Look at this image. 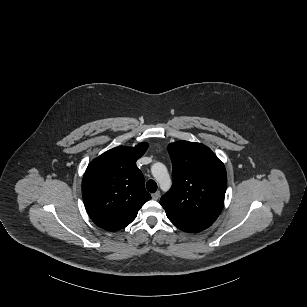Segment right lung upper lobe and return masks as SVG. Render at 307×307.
I'll return each instance as SVG.
<instances>
[{"label":"right lung upper lobe","instance_id":"cb5924a9","mask_svg":"<svg viewBox=\"0 0 307 307\" xmlns=\"http://www.w3.org/2000/svg\"><path fill=\"white\" fill-rule=\"evenodd\" d=\"M147 148L145 142L135 147L119 146L95 158L87 167L82 196L88 215L99 227L109 231L126 227L151 198L136 166Z\"/></svg>","mask_w":307,"mask_h":307}]
</instances>
